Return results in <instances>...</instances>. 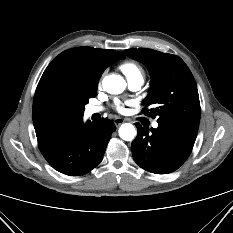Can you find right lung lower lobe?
Here are the masks:
<instances>
[{
  "instance_id": "1",
  "label": "right lung lower lobe",
  "mask_w": 233,
  "mask_h": 233,
  "mask_svg": "<svg viewBox=\"0 0 233 233\" xmlns=\"http://www.w3.org/2000/svg\"><path fill=\"white\" fill-rule=\"evenodd\" d=\"M114 123L77 120L55 134L38 140V147L47 162L57 171L70 175H83L95 168L103 159Z\"/></svg>"
}]
</instances>
